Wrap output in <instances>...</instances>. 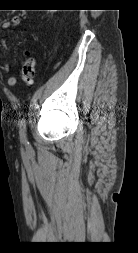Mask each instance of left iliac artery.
<instances>
[{"instance_id": "1", "label": "left iliac artery", "mask_w": 138, "mask_h": 253, "mask_svg": "<svg viewBox=\"0 0 138 253\" xmlns=\"http://www.w3.org/2000/svg\"><path fill=\"white\" fill-rule=\"evenodd\" d=\"M19 134H20V140L24 143H27L26 138V120L24 118L21 119L19 123Z\"/></svg>"}]
</instances>
